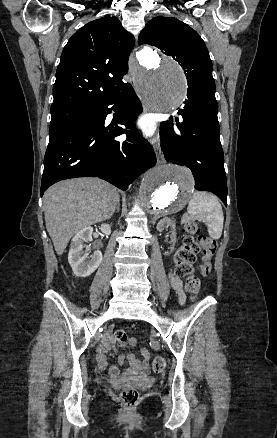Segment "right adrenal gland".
I'll return each mask as SVG.
<instances>
[{"label":"right adrenal gland","instance_id":"2a0ac1e0","mask_svg":"<svg viewBox=\"0 0 277 438\" xmlns=\"http://www.w3.org/2000/svg\"><path fill=\"white\" fill-rule=\"evenodd\" d=\"M116 210H117V212H120V202H118V204L116 206Z\"/></svg>","mask_w":277,"mask_h":438}]
</instances>
